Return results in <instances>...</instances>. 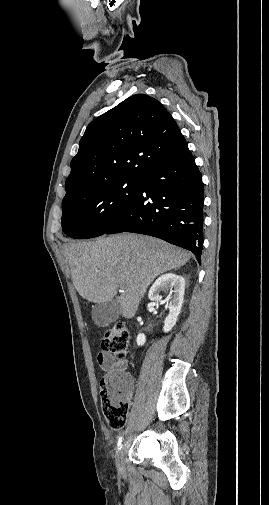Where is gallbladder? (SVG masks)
<instances>
[{"label":"gallbladder","mask_w":269,"mask_h":505,"mask_svg":"<svg viewBox=\"0 0 269 505\" xmlns=\"http://www.w3.org/2000/svg\"><path fill=\"white\" fill-rule=\"evenodd\" d=\"M92 320L98 327H106L120 316V304L113 299L109 302L98 303L92 308Z\"/></svg>","instance_id":"obj_1"}]
</instances>
